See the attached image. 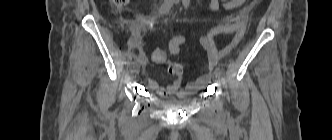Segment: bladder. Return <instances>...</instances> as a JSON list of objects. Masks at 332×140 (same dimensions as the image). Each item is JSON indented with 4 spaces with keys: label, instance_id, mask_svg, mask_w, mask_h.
<instances>
[{
    "label": "bladder",
    "instance_id": "obj_1",
    "mask_svg": "<svg viewBox=\"0 0 332 140\" xmlns=\"http://www.w3.org/2000/svg\"><path fill=\"white\" fill-rule=\"evenodd\" d=\"M195 97L193 95H188L181 99H171V100H159L155 99V102L163 107L167 108H185L193 103Z\"/></svg>",
    "mask_w": 332,
    "mask_h": 140
}]
</instances>
